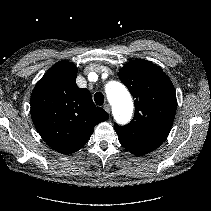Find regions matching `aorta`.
Masks as SVG:
<instances>
[{"mask_svg": "<svg viewBox=\"0 0 211 211\" xmlns=\"http://www.w3.org/2000/svg\"><path fill=\"white\" fill-rule=\"evenodd\" d=\"M106 93L114 102L117 119L123 123L129 121L133 111V102L127 89L121 83L112 81L107 84Z\"/></svg>", "mask_w": 211, "mask_h": 211, "instance_id": "obj_1", "label": "aorta"}]
</instances>
